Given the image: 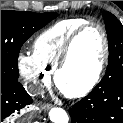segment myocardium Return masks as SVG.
<instances>
[{"label": "myocardium", "mask_w": 123, "mask_h": 123, "mask_svg": "<svg viewBox=\"0 0 123 123\" xmlns=\"http://www.w3.org/2000/svg\"><path fill=\"white\" fill-rule=\"evenodd\" d=\"M91 27H96L97 29H99L101 36H102V41H103V51H102V56H101L97 71L94 74V76L92 77V79L82 88L74 90V91H65L59 85L60 73L66 67V65L70 59L71 52H72V49H73V46H74L76 40L87 29H89ZM109 54H110L109 38H108V35H107V32H106L104 26L101 23L96 22V21H89V22L83 24L69 36V38L67 39V41L65 42V44L63 46L60 58L53 70V78H54L55 84L68 97L76 98V97L85 96L86 94L91 92L97 86V84L100 82L102 75L105 71L106 65L108 63V60H109Z\"/></svg>", "instance_id": "f54148a6"}]
</instances>
